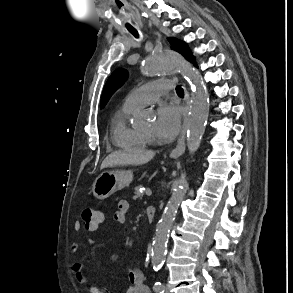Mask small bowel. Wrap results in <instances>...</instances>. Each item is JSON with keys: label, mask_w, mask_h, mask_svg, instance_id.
<instances>
[{"label": "small bowel", "mask_w": 293, "mask_h": 293, "mask_svg": "<svg viewBox=\"0 0 293 293\" xmlns=\"http://www.w3.org/2000/svg\"><path fill=\"white\" fill-rule=\"evenodd\" d=\"M130 209V204L127 200H120L118 202L117 210L113 214V218L117 223L123 224L126 222V216ZM104 221V216L101 214V222ZM99 227V226H98ZM88 229L84 226L85 230L91 233H95L98 230ZM82 228L79 222L74 225L75 231H80ZM89 245H92V241L88 240ZM80 248L79 243L73 242L71 245L72 252H77ZM72 272L75 279L82 284H89V281L84 273V265L80 262L74 263L72 266ZM128 280L130 285L127 287L125 293H150L149 287L145 284L144 273L140 269H131L128 272ZM91 293H104L100 288L96 286H90Z\"/></svg>", "instance_id": "1"}]
</instances>
